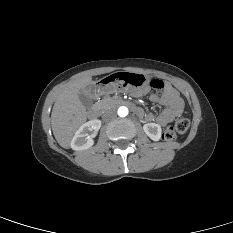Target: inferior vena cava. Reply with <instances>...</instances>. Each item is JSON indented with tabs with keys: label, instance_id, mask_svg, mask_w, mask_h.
<instances>
[{
	"label": "inferior vena cava",
	"instance_id": "1",
	"mask_svg": "<svg viewBox=\"0 0 233 233\" xmlns=\"http://www.w3.org/2000/svg\"><path fill=\"white\" fill-rule=\"evenodd\" d=\"M116 117V112L114 110H108V111H105L102 118L104 121H107V120H110V119H113Z\"/></svg>",
	"mask_w": 233,
	"mask_h": 233
}]
</instances>
